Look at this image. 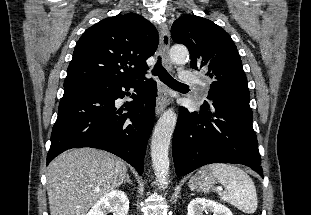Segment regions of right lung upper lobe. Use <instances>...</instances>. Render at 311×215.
Masks as SVG:
<instances>
[{
  "label": "right lung upper lobe",
  "mask_w": 311,
  "mask_h": 215,
  "mask_svg": "<svg viewBox=\"0 0 311 215\" xmlns=\"http://www.w3.org/2000/svg\"><path fill=\"white\" fill-rule=\"evenodd\" d=\"M158 42L156 28L141 15L131 12L103 19L76 43L64 86L144 79L149 69L146 60L155 53Z\"/></svg>",
  "instance_id": "obj_1"
}]
</instances>
